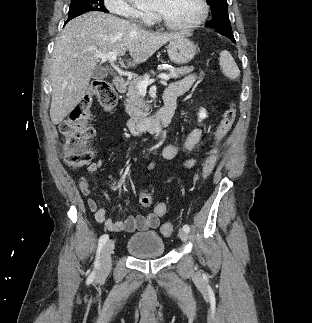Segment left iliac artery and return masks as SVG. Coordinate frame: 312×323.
<instances>
[{
	"instance_id": "left-iliac-artery-1",
	"label": "left iliac artery",
	"mask_w": 312,
	"mask_h": 323,
	"mask_svg": "<svg viewBox=\"0 0 312 323\" xmlns=\"http://www.w3.org/2000/svg\"><path fill=\"white\" fill-rule=\"evenodd\" d=\"M183 230H185L186 232L190 231V227L186 224L183 226Z\"/></svg>"
}]
</instances>
